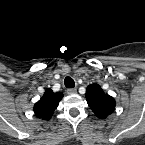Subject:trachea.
Returning a JSON list of instances; mask_svg holds the SVG:
<instances>
[{"label":"trachea","mask_w":145,"mask_h":145,"mask_svg":"<svg viewBox=\"0 0 145 145\" xmlns=\"http://www.w3.org/2000/svg\"><path fill=\"white\" fill-rule=\"evenodd\" d=\"M64 84L67 88H74L75 82L71 77H66L64 80Z\"/></svg>","instance_id":"obj_1"}]
</instances>
